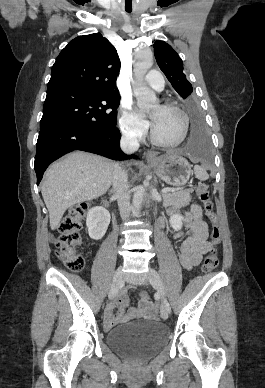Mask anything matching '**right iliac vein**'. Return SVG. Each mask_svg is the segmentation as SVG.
Wrapping results in <instances>:
<instances>
[{"instance_id":"63e3f726","label":"right iliac vein","mask_w":265,"mask_h":388,"mask_svg":"<svg viewBox=\"0 0 265 388\" xmlns=\"http://www.w3.org/2000/svg\"><path fill=\"white\" fill-rule=\"evenodd\" d=\"M123 270L122 267H119L114 274L113 282L109 291V299L112 300L116 297L118 290L122 282Z\"/></svg>"}]
</instances>
